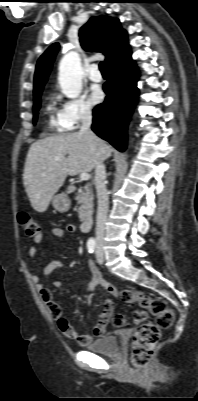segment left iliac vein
<instances>
[{"label": "left iliac vein", "mask_w": 198, "mask_h": 401, "mask_svg": "<svg viewBox=\"0 0 198 401\" xmlns=\"http://www.w3.org/2000/svg\"><path fill=\"white\" fill-rule=\"evenodd\" d=\"M96 259L99 264H102L104 261V253H103V249L100 245H98V247H97Z\"/></svg>", "instance_id": "1"}]
</instances>
